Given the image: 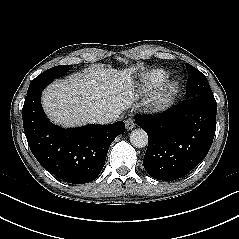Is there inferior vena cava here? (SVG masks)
Returning <instances> with one entry per match:
<instances>
[{"label": "inferior vena cava", "instance_id": "1", "mask_svg": "<svg viewBox=\"0 0 239 239\" xmlns=\"http://www.w3.org/2000/svg\"><path fill=\"white\" fill-rule=\"evenodd\" d=\"M116 117L113 114L99 113L95 116V121L99 124H107L115 120Z\"/></svg>", "mask_w": 239, "mask_h": 239}]
</instances>
